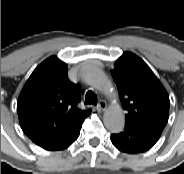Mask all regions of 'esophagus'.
<instances>
[{
	"mask_svg": "<svg viewBox=\"0 0 184 174\" xmlns=\"http://www.w3.org/2000/svg\"><path fill=\"white\" fill-rule=\"evenodd\" d=\"M106 108H107V103L103 100H100L98 105H97V110L104 111Z\"/></svg>",
	"mask_w": 184,
	"mask_h": 174,
	"instance_id": "34e87169",
	"label": "esophagus"
}]
</instances>
